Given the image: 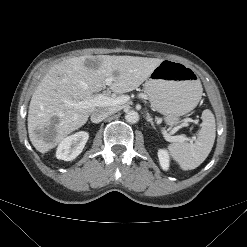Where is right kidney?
Here are the masks:
<instances>
[{"instance_id": "right-kidney-1", "label": "right kidney", "mask_w": 247, "mask_h": 247, "mask_svg": "<svg viewBox=\"0 0 247 247\" xmlns=\"http://www.w3.org/2000/svg\"><path fill=\"white\" fill-rule=\"evenodd\" d=\"M88 138L89 134L84 131L77 132L64 138L57 147V159L64 161L75 159L82 152Z\"/></svg>"}]
</instances>
